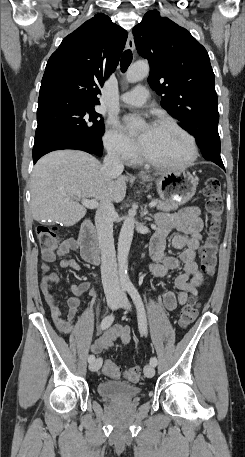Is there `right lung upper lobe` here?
Returning a JSON list of instances; mask_svg holds the SVG:
<instances>
[{"label":"right lung upper lobe","mask_w":245,"mask_h":457,"mask_svg":"<svg viewBox=\"0 0 245 457\" xmlns=\"http://www.w3.org/2000/svg\"><path fill=\"white\" fill-rule=\"evenodd\" d=\"M127 35L100 13L65 37L47 62L37 112L61 103L100 104L99 86L118 66Z\"/></svg>","instance_id":"1"}]
</instances>
